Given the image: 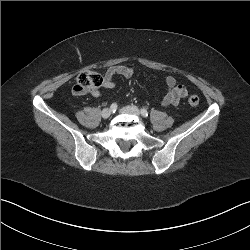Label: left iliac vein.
I'll return each instance as SVG.
<instances>
[{"label":"left iliac vein","instance_id":"1","mask_svg":"<svg viewBox=\"0 0 250 250\" xmlns=\"http://www.w3.org/2000/svg\"><path fill=\"white\" fill-rule=\"evenodd\" d=\"M122 113L132 114L135 116L140 115V110L136 106H125L121 109Z\"/></svg>","mask_w":250,"mask_h":250}]
</instances>
